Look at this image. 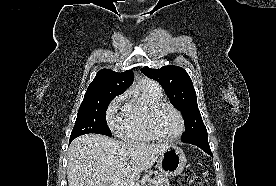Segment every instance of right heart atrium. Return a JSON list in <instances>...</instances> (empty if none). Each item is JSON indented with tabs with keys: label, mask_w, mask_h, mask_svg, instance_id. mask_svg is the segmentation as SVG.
<instances>
[{
	"label": "right heart atrium",
	"mask_w": 276,
	"mask_h": 186,
	"mask_svg": "<svg viewBox=\"0 0 276 186\" xmlns=\"http://www.w3.org/2000/svg\"><path fill=\"white\" fill-rule=\"evenodd\" d=\"M126 99L127 94L123 93L110 103L107 109V120L110 127L118 131L119 128L125 123L127 119V111H126Z\"/></svg>",
	"instance_id": "1"
}]
</instances>
